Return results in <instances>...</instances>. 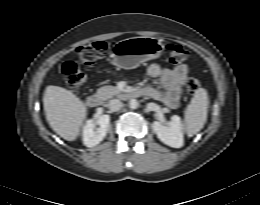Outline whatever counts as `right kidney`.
Segmentation results:
<instances>
[{
	"instance_id": "ca27d5eb",
	"label": "right kidney",
	"mask_w": 260,
	"mask_h": 205,
	"mask_svg": "<svg viewBox=\"0 0 260 205\" xmlns=\"http://www.w3.org/2000/svg\"><path fill=\"white\" fill-rule=\"evenodd\" d=\"M110 117L109 115H102L98 120L90 119L86 122L83 128V143L87 147H94L99 144L109 130ZM99 128L95 129V126Z\"/></svg>"
}]
</instances>
